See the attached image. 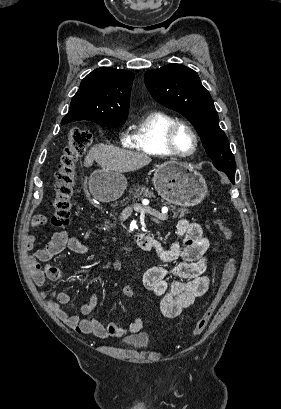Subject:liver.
I'll return each mask as SVG.
<instances>
[{"mask_svg":"<svg viewBox=\"0 0 281 409\" xmlns=\"http://www.w3.org/2000/svg\"><path fill=\"white\" fill-rule=\"evenodd\" d=\"M94 160L100 164L103 170H117V172H130L138 170L151 162L149 154L146 152H135L117 146H107V144H95L91 146L87 156L84 158V166H92Z\"/></svg>","mask_w":281,"mask_h":409,"instance_id":"liver-1","label":"liver"}]
</instances>
